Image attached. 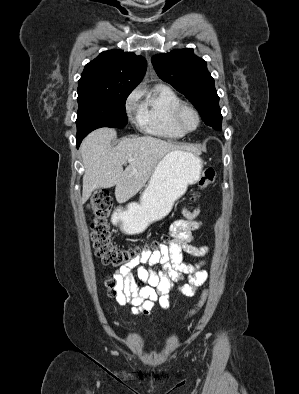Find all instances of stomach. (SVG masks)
Returning a JSON list of instances; mask_svg holds the SVG:
<instances>
[{
  "mask_svg": "<svg viewBox=\"0 0 299 394\" xmlns=\"http://www.w3.org/2000/svg\"><path fill=\"white\" fill-rule=\"evenodd\" d=\"M202 161L197 154L182 149L165 155L159 162L139 202H133L120 214L121 230L128 235L143 232L164 218L201 174Z\"/></svg>",
  "mask_w": 299,
  "mask_h": 394,
  "instance_id": "1",
  "label": "stomach"
}]
</instances>
